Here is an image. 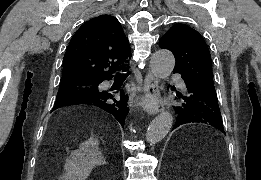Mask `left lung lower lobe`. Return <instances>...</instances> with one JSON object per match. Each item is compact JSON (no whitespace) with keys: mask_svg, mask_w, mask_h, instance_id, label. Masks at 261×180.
I'll return each instance as SVG.
<instances>
[{"mask_svg":"<svg viewBox=\"0 0 261 180\" xmlns=\"http://www.w3.org/2000/svg\"><path fill=\"white\" fill-rule=\"evenodd\" d=\"M180 73V71H173ZM185 85L183 93L178 92L180 104L174 107L177 119L174 128L183 124L200 122L214 126L224 132L218 99L215 90L206 88L199 80L180 73Z\"/></svg>","mask_w":261,"mask_h":180,"instance_id":"1","label":"left lung lower lobe"}]
</instances>
